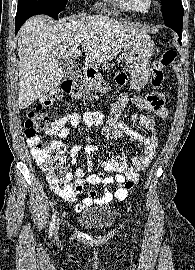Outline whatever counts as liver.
Returning a JSON list of instances; mask_svg holds the SVG:
<instances>
[{
	"mask_svg": "<svg viewBox=\"0 0 195 270\" xmlns=\"http://www.w3.org/2000/svg\"><path fill=\"white\" fill-rule=\"evenodd\" d=\"M136 35H146V31L104 15L62 23L45 15L30 18L18 33L19 108L59 86L64 77L59 59L80 56L78 39H83L86 60L94 67L116 57Z\"/></svg>",
	"mask_w": 195,
	"mask_h": 270,
	"instance_id": "6515ba94",
	"label": "liver"
}]
</instances>
